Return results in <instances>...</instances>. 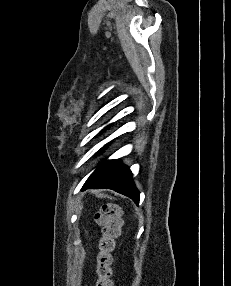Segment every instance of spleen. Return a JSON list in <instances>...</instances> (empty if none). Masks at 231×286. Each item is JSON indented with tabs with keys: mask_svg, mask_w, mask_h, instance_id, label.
Returning <instances> with one entry per match:
<instances>
[{
	"mask_svg": "<svg viewBox=\"0 0 231 286\" xmlns=\"http://www.w3.org/2000/svg\"><path fill=\"white\" fill-rule=\"evenodd\" d=\"M96 195H97V197H99V198H105V197H107V198H109V199H112L111 196L105 195V194H103V193H97Z\"/></svg>",
	"mask_w": 231,
	"mask_h": 286,
	"instance_id": "3e777b00",
	"label": "spleen"
}]
</instances>
